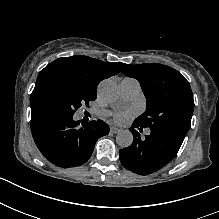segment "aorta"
Returning <instances> with one entry per match:
<instances>
[{
	"label": "aorta",
	"instance_id": "obj_1",
	"mask_svg": "<svg viewBox=\"0 0 219 219\" xmlns=\"http://www.w3.org/2000/svg\"><path fill=\"white\" fill-rule=\"evenodd\" d=\"M99 97L108 104L115 103L119 98L116 83L112 80H104L99 85ZM116 142L122 148L129 147L133 142V135L128 130H122L117 134Z\"/></svg>",
	"mask_w": 219,
	"mask_h": 219
}]
</instances>
